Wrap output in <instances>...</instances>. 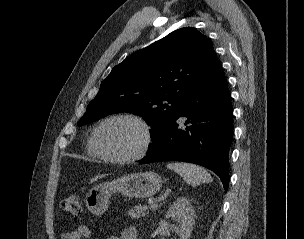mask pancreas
Listing matches in <instances>:
<instances>
[{
	"label": "pancreas",
	"mask_w": 304,
	"mask_h": 239,
	"mask_svg": "<svg viewBox=\"0 0 304 239\" xmlns=\"http://www.w3.org/2000/svg\"><path fill=\"white\" fill-rule=\"evenodd\" d=\"M146 212H148V206L147 205H136L134 208H131L128 211V215L131 218H139L140 216H145Z\"/></svg>",
	"instance_id": "1"
}]
</instances>
